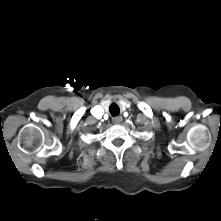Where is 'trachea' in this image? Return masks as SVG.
<instances>
[{"label":"trachea","instance_id":"obj_1","mask_svg":"<svg viewBox=\"0 0 221 221\" xmlns=\"http://www.w3.org/2000/svg\"><path fill=\"white\" fill-rule=\"evenodd\" d=\"M109 111H110L112 116H117V115H119L120 108L117 104L113 103V104L110 105Z\"/></svg>","mask_w":221,"mask_h":221}]
</instances>
